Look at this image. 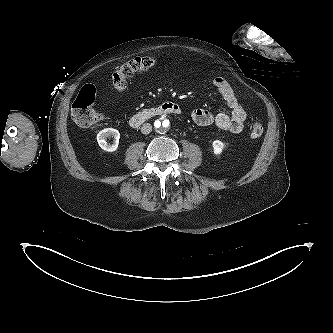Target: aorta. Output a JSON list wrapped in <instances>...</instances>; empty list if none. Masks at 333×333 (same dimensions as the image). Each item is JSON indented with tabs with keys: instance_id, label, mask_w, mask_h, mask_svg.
Masks as SVG:
<instances>
[{
	"instance_id": "obj_1",
	"label": "aorta",
	"mask_w": 333,
	"mask_h": 333,
	"mask_svg": "<svg viewBox=\"0 0 333 333\" xmlns=\"http://www.w3.org/2000/svg\"><path fill=\"white\" fill-rule=\"evenodd\" d=\"M170 124H169V120H167L166 118L157 120L155 122V130L158 133H165L169 130Z\"/></svg>"
}]
</instances>
